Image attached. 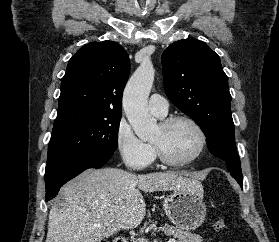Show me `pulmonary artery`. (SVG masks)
Instances as JSON below:
<instances>
[{"label": "pulmonary artery", "instance_id": "e3ab8cb5", "mask_svg": "<svg viewBox=\"0 0 279 242\" xmlns=\"http://www.w3.org/2000/svg\"><path fill=\"white\" fill-rule=\"evenodd\" d=\"M168 101L160 94H152L148 101L149 110L160 117L166 116L168 113Z\"/></svg>", "mask_w": 279, "mask_h": 242}]
</instances>
